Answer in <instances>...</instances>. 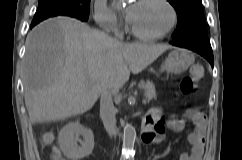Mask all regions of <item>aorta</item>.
I'll use <instances>...</instances> for the list:
<instances>
[{"label":"aorta","instance_id":"1","mask_svg":"<svg viewBox=\"0 0 242 160\" xmlns=\"http://www.w3.org/2000/svg\"><path fill=\"white\" fill-rule=\"evenodd\" d=\"M135 139H136V131L134 127L130 124H126L124 127L123 148H122L124 157H126V159L132 153Z\"/></svg>","mask_w":242,"mask_h":160}]
</instances>
